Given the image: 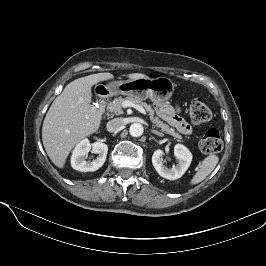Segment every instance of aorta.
Here are the masks:
<instances>
[{"instance_id": "1", "label": "aorta", "mask_w": 266, "mask_h": 266, "mask_svg": "<svg viewBox=\"0 0 266 266\" xmlns=\"http://www.w3.org/2000/svg\"><path fill=\"white\" fill-rule=\"evenodd\" d=\"M143 131V126L140 123H133L129 128L130 135L133 137H140Z\"/></svg>"}]
</instances>
